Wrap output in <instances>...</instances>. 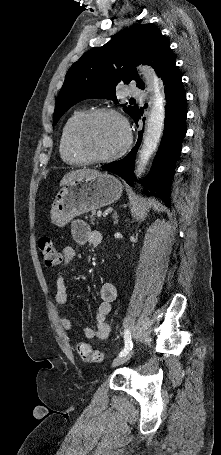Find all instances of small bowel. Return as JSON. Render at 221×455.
<instances>
[{"instance_id": "1", "label": "small bowel", "mask_w": 221, "mask_h": 455, "mask_svg": "<svg viewBox=\"0 0 221 455\" xmlns=\"http://www.w3.org/2000/svg\"><path fill=\"white\" fill-rule=\"evenodd\" d=\"M72 241L78 245L88 244L91 246H98L102 242V234L91 229L86 223L82 221H75L71 228ZM76 252L72 245L65 246L61 251V266L68 267L75 259ZM100 302L97 305L95 322L96 327H85L83 332L87 339L105 340L110 333V325L107 322V316L111 311V305L117 296V290L113 283L105 282L101 285ZM68 292L66 281L63 275H60L56 281L55 301L57 304H66L68 302ZM60 324L66 331L72 330V322L67 317L60 318Z\"/></svg>"}]
</instances>
